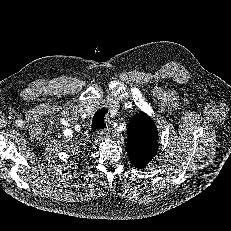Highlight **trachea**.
<instances>
[{
    "instance_id": "3493384b",
    "label": "trachea",
    "mask_w": 231,
    "mask_h": 231,
    "mask_svg": "<svg viewBox=\"0 0 231 231\" xmlns=\"http://www.w3.org/2000/svg\"><path fill=\"white\" fill-rule=\"evenodd\" d=\"M107 112H108L107 108H102L94 114L92 119V126H91L93 130L106 128V124L104 122V116Z\"/></svg>"
}]
</instances>
